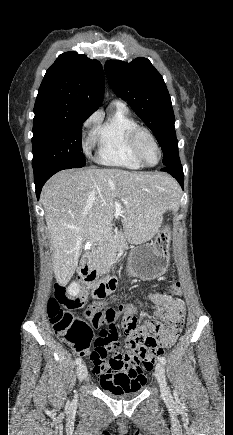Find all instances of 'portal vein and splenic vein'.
Masks as SVG:
<instances>
[{"instance_id": "1", "label": "portal vein and splenic vein", "mask_w": 233, "mask_h": 435, "mask_svg": "<svg viewBox=\"0 0 233 435\" xmlns=\"http://www.w3.org/2000/svg\"><path fill=\"white\" fill-rule=\"evenodd\" d=\"M115 205H116V206H119V204H118V202H117V201H115Z\"/></svg>"}]
</instances>
